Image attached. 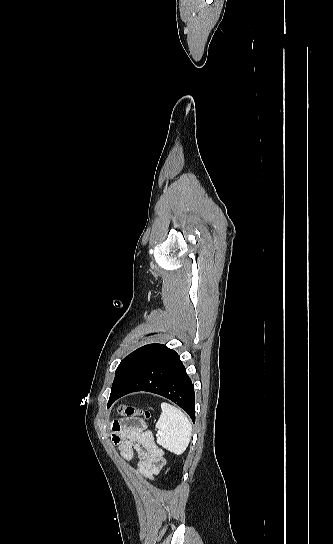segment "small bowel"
<instances>
[{
    "label": "small bowel",
    "mask_w": 333,
    "mask_h": 544,
    "mask_svg": "<svg viewBox=\"0 0 333 544\" xmlns=\"http://www.w3.org/2000/svg\"><path fill=\"white\" fill-rule=\"evenodd\" d=\"M111 439L126 461L136 460L139 472L151 479L165 461L156 447L152 434L142 421L127 419L111 425Z\"/></svg>",
    "instance_id": "1"
}]
</instances>
